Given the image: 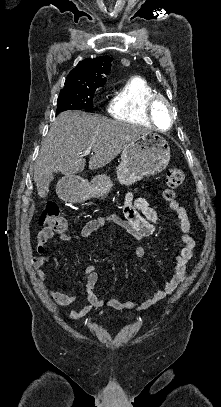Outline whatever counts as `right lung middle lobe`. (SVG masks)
Returning <instances> with one entry per match:
<instances>
[{
    "mask_svg": "<svg viewBox=\"0 0 221 407\" xmlns=\"http://www.w3.org/2000/svg\"><path fill=\"white\" fill-rule=\"evenodd\" d=\"M96 89L61 90L57 99V112L70 109H92Z\"/></svg>",
    "mask_w": 221,
    "mask_h": 407,
    "instance_id": "1",
    "label": "right lung middle lobe"
}]
</instances>
